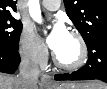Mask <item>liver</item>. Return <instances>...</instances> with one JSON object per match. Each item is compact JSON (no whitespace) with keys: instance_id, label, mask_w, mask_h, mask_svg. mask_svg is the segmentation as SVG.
I'll return each instance as SVG.
<instances>
[{"instance_id":"liver-1","label":"liver","mask_w":107,"mask_h":89,"mask_svg":"<svg viewBox=\"0 0 107 89\" xmlns=\"http://www.w3.org/2000/svg\"><path fill=\"white\" fill-rule=\"evenodd\" d=\"M75 85H79L81 89H106L105 87H107L104 83L101 82H90ZM20 87L21 84L18 80V77L5 74L0 75V89H20ZM32 89H38V85H34Z\"/></svg>"}]
</instances>
